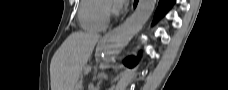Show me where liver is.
Segmentation results:
<instances>
[{"instance_id":"liver-1","label":"liver","mask_w":228,"mask_h":90,"mask_svg":"<svg viewBox=\"0 0 228 90\" xmlns=\"http://www.w3.org/2000/svg\"><path fill=\"white\" fill-rule=\"evenodd\" d=\"M100 36L73 32L54 54L50 64L51 90H75Z\"/></svg>"}]
</instances>
